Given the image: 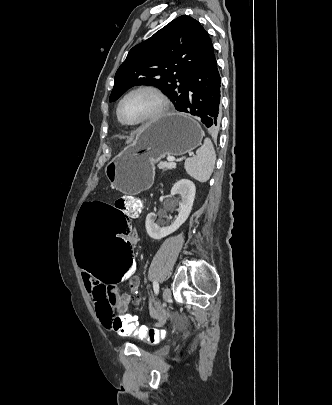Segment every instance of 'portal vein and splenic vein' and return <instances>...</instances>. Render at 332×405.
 Here are the masks:
<instances>
[{"label":"portal vein and splenic vein","mask_w":332,"mask_h":405,"mask_svg":"<svg viewBox=\"0 0 332 405\" xmlns=\"http://www.w3.org/2000/svg\"><path fill=\"white\" fill-rule=\"evenodd\" d=\"M167 161L170 163V167L175 168L176 167V162H175V158L173 157H168Z\"/></svg>","instance_id":"portal-vein-and-splenic-vein-1"}]
</instances>
